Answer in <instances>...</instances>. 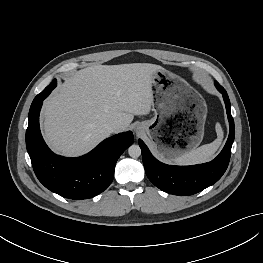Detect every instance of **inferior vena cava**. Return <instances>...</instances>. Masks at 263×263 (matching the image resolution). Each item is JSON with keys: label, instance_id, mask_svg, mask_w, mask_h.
Instances as JSON below:
<instances>
[{"label": "inferior vena cava", "instance_id": "obj_1", "mask_svg": "<svg viewBox=\"0 0 263 263\" xmlns=\"http://www.w3.org/2000/svg\"><path fill=\"white\" fill-rule=\"evenodd\" d=\"M105 127L109 132L113 133L119 129V124L117 122H110L106 124Z\"/></svg>", "mask_w": 263, "mask_h": 263}]
</instances>
